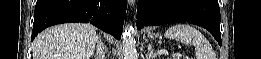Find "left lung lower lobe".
Segmentation results:
<instances>
[{"label":"left lung lower lobe","mask_w":261,"mask_h":59,"mask_svg":"<svg viewBox=\"0 0 261 59\" xmlns=\"http://www.w3.org/2000/svg\"><path fill=\"white\" fill-rule=\"evenodd\" d=\"M172 22L201 26L221 45L218 0H138V29Z\"/></svg>","instance_id":"1"}]
</instances>
